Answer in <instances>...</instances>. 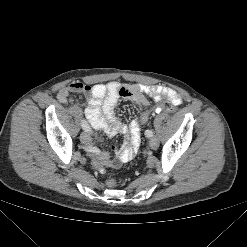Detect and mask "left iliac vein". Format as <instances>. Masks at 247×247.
<instances>
[{
  "label": "left iliac vein",
  "instance_id": "1",
  "mask_svg": "<svg viewBox=\"0 0 247 247\" xmlns=\"http://www.w3.org/2000/svg\"><path fill=\"white\" fill-rule=\"evenodd\" d=\"M159 145V141L156 137H151L149 140V146L151 149H156Z\"/></svg>",
  "mask_w": 247,
  "mask_h": 247
}]
</instances>
